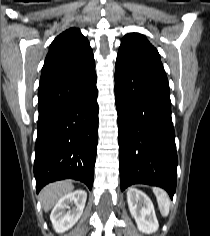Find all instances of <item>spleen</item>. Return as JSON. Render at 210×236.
<instances>
[{
	"label": "spleen",
	"instance_id": "spleen-1",
	"mask_svg": "<svg viewBox=\"0 0 210 236\" xmlns=\"http://www.w3.org/2000/svg\"><path fill=\"white\" fill-rule=\"evenodd\" d=\"M153 192L157 198L160 212L163 216H168L170 210V199L165 191L154 188Z\"/></svg>",
	"mask_w": 210,
	"mask_h": 236
}]
</instances>
